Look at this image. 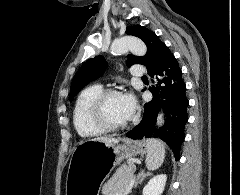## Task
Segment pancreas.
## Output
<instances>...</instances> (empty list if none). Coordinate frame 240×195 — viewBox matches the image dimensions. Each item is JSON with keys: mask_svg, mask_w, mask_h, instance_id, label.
Returning a JSON list of instances; mask_svg holds the SVG:
<instances>
[{"mask_svg": "<svg viewBox=\"0 0 240 195\" xmlns=\"http://www.w3.org/2000/svg\"><path fill=\"white\" fill-rule=\"evenodd\" d=\"M136 165L134 161L131 163H122L118 169H116L113 177L108 179L107 183H104L102 187L103 195H116V193H121L125 189L126 185L129 183L132 171H135Z\"/></svg>", "mask_w": 240, "mask_h": 195, "instance_id": "obj_1", "label": "pancreas"}]
</instances>
